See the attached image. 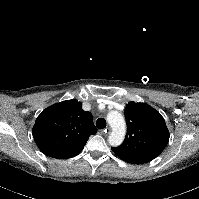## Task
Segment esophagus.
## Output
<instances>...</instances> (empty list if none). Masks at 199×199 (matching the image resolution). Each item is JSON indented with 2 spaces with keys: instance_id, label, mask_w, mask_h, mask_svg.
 <instances>
[{
  "instance_id": "obj_1",
  "label": "esophagus",
  "mask_w": 199,
  "mask_h": 199,
  "mask_svg": "<svg viewBox=\"0 0 199 199\" xmlns=\"http://www.w3.org/2000/svg\"><path fill=\"white\" fill-rule=\"evenodd\" d=\"M110 132H111V128H110V127H106V128L103 130V133H104L105 135H109Z\"/></svg>"
}]
</instances>
